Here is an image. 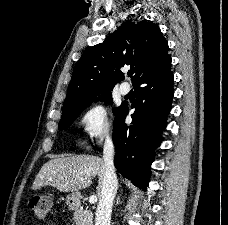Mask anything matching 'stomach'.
Instances as JSON below:
<instances>
[{
    "instance_id": "stomach-1",
    "label": "stomach",
    "mask_w": 228,
    "mask_h": 225,
    "mask_svg": "<svg viewBox=\"0 0 228 225\" xmlns=\"http://www.w3.org/2000/svg\"><path fill=\"white\" fill-rule=\"evenodd\" d=\"M66 201L70 209H75L80 203V193H70V195H67Z\"/></svg>"
}]
</instances>
